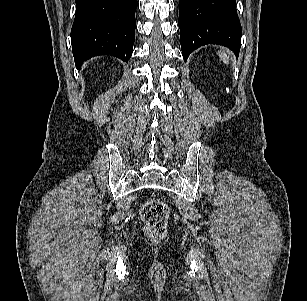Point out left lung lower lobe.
Masks as SVG:
<instances>
[{"label":"left lung lower lobe","mask_w":307,"mask_h":301,"mask_svg":"<svg viewBox=\"0 0 307 301\" xmlns=\"http://www.w3.org/2000/svg\"><path fill=\"white\" fill-rule=\"evenodd\" d=\"M179 28L184 61L206 44L226 46L239 54L242 29L236 0H179Z\"/></svg>","instance_id":"0a47b994"}]
</instances>
